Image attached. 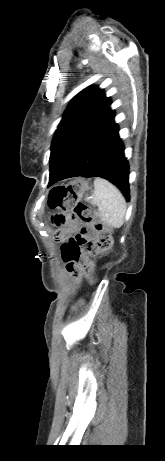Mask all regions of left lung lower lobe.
Wrapping results in <instances>:
<instances>
[{
	"label": "left lung lower lobe",
	"instance_id": "1",
	"mask_svg": "<svg viewBox=\"0 0 165 461\" xmlns=\"http://www.w3.org/2000/svg\"><path fill=\"white\" fill-rule=\"evenodd\" d=\"M76 176L107 179L129 201V165L110 108L66 155L50 177L48 186Z\"/></svg>",
	"mask_w": 165,
	"mask_h": 461
}]
</instances>
